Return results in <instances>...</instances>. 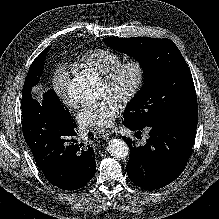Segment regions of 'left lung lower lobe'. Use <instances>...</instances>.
<instances>
[{
	"label": "left lung lower lobe",
	"mask_w": 219,
	"mask_h": 219,
	"mask_svg": "<svg viewBox=\"0 0 219 219\" xmlns=\"http://www.w3.org/2000/svg\"><path fill=\"white\" fill-rule=\"evenodd\" d=\"M198 116L184 117L168 123L137 126L127 120L125 127L138 133L144 127L150 132L145 145L123 137L130 145V159L126 166L129 179L145 190L160 189L174 181L184 170L195 141Z\"/></svg>",
	"instance_id": "1"
}]
</instances>
